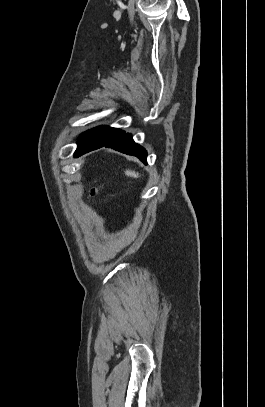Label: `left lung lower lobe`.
<instances>
[{"label": "left lung lower lobe", "instance_id": "1", "mask_svg": "<svg viewBox=\"0 0 265 407\" xmlns=\"http://www.w3.org/2000/svg\"><path fill=\"white\" fill-rule=\"evenodd\" d=\"M101 147H110L113 148L117 151H120L122 153L128 154V155H133L138 157L142 162H144L145 164L147 163L146 158H147V152L146 150L136 144L134 142V140L132 139L131 134L129 133H125L124 131L119 134L118 136L112 138L111 140L107 141L106 143H101V144H97L95 146H92L88 149L79 151V152H75L74 156L78 157L81 156L87 152H90L92 150H96L98 148Z\"/></svg>", "mask_w": 265, "mask_h": 407}]
</instances>
